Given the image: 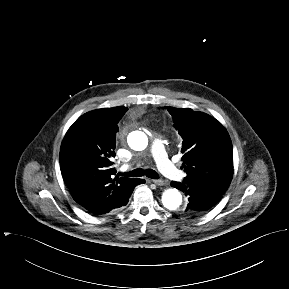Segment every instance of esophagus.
I'll return each mask as SVG.
<instances>
[{
	"label": "esophagus",
	"instance_id": "obj_1",
	"mask_svg": "<svg viewBox=\"0 0 289 289\" xmlns=\"http://www.w3.org/2000/svg\"><path fill=\"white\" fill-rule=\"evenodd\" d=\"M151 181L158 186H163L165 184V182L161 179H153Z\"/></svg>",
	"mask_w": 289,
	"mask_h": 289
}]
</instances>
